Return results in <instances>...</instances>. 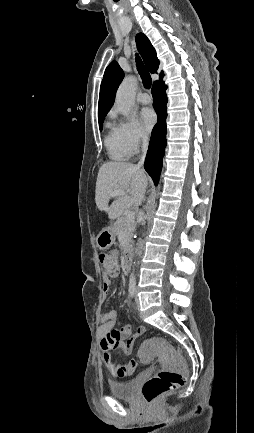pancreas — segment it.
<instances>
[{"label": "pancreas", "instance_id": "cf45deb5", "mask_svg": "<svg viewBox=\"0 0 254 433\" xmlns=\"http://www.w3.org/2000/svg\"><path fill=\"white\" fill-rule=\"evenodd\" d=\"M135 227H136L135 220L126 221V217L122 215L117 219L114 225V231L115 234L122 235L125 238V240L129 243L131 242V238L133 236Z\"/></svg>", "mask_w": 254, "mask_h": 433}]
</instances>
